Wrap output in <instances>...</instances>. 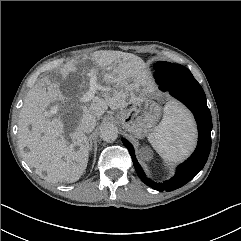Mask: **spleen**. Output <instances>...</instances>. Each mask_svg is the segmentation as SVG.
<instances>
[{
    "label": "spleen",
    "mask_w": 241,
    "mask_h": 241,
    "mask_svg": "<svg viewBox=\"0 0 241 241\" xmlns=\"http://www.w3.org/2000/svg\"><path fill=\"white\" fill-rule=\"evenodd\" d=\"M148 140L165 160L177 162L185 159L196 143V126L190 112L176 101L164 107L161 123L149 133Z\"/></svg>",
    "instance_id": "1"
}]
</instances>
